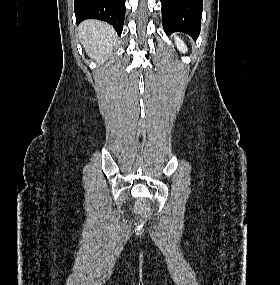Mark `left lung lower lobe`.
Segmentation results:
<instances>
[{
    "instance_id": "left-lung-lower-lobe-1",
    "label": "left lung lower lobe",
    "mask_w": 280,
    "mask_h": 285,
    "mask_svg": "<svg viewBox=\"0 0 280 285\" xmlns=\"http://www.w3.org/2000/svg\"><path fill=\"white\" fill-rule=\"evenodd\" d=\"M166 34L184 32L197 38L201 28L202 0H161Z\"/></svg>"
}]
</instances>
